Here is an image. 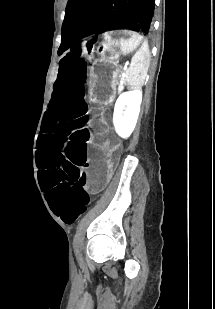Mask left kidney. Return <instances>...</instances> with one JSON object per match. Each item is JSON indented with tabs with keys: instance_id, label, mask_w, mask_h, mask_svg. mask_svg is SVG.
I'll return each instance as SVG.
<instances>
[{
	"instance_id": "left-kidney-1",
	"label": "left kidney",
	"mask_w": 215,
	"mask_h": 309,
	"mask_svg": "<svg viewBox=\"0 0 215 309\" xmlns=\"http://www.w3.org/2000/svg\"><path fill=\"white\" fill-rule=\"evenodd\" d=\"M141 102V90H129V92H122L118 96L114 106L113 124L117 134L122 138H128L133 132Z\"/></svg>"
}]
</instances>
